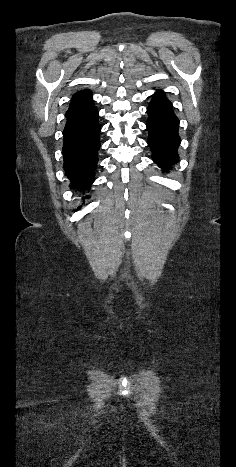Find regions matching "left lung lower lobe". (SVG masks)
I'll return each instance as SVG.
<instances>
[{
    "label": "left lung lower lobe",
    "mask_w": 236,
    "mask_h": 467,
    "mask_svg": "<svg viewBox=\"0 0 236 467\" xmlns=\"http://www.w3.org/2000/svg\"><path fill=\"white\" fill-rule=\"evenodd\" d=\"M147 112L148 145L152 150L153 160L167 171L178 162L177 149L181 142L178 135L179 120L173 112L171 102L160 90L154 94Z\"/></svg>",
    "instance_id": "obj_1"
}]
</instances>
